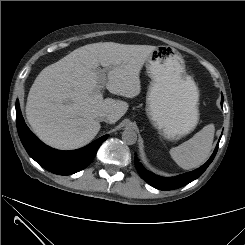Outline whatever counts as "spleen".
I'll list each match as a JSON object with an SVG mask.
<instances>
[{"label":"spleen","mask_w":245,"mask_h":245,"mask_svg":"<svg viewBox=\"0 0 245 245\" xmlns=\"http://www.w3.org/2000/svg\"><path fill=\"white\" fill-rule=\"evenodd\" d=\"M214 133L213 124L204 126L188 141L170 149L172 159L186 170L199 167L207 160L211 152Z\"/></svg>","instance_id":"1"}]
</instances>
